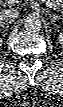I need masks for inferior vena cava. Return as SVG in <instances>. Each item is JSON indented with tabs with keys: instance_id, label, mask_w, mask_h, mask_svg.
Instances as JSON below:
<instances>
[{
	"instance_id": "inferior-vena-cava-1",
	"label": "inferior vena cava",
	"mask_w": 63,
	"mask_h": 107,
	"mask_svg": "<svg viewBox=\"0 0 63 107\" xmlns=\"http://www.w3.org/2000/svg\"><path fill=\"white\" fill-rule=\"evenodd\" d=\"M18 17V11L15 9H3L0 12V25L11 24Z\"/></svg>"
}]
</instances>
